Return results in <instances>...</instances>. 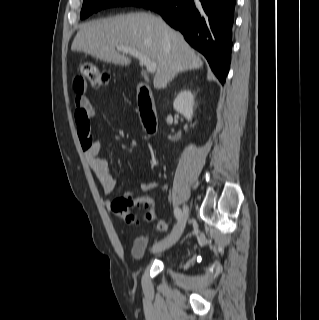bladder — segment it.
Segmentation results:
<instances>
[{
    "label": "bladder",
    "instance_id": "obj_1",
    "mask_svg": "<svg viewBox=\"0 0 319 320\" xmlns=\"http://www.w3.org/2000/svg\"><path fill=\"white\" fill-rule=\"evenodd\" d=\"M148 247V239L144 236H138L134 239L131 253L134 259L142 261L145 258L146 250Z\"/></svg>",
    "mask_w": 319,
    "mask_h": 320
}]
</instances>
